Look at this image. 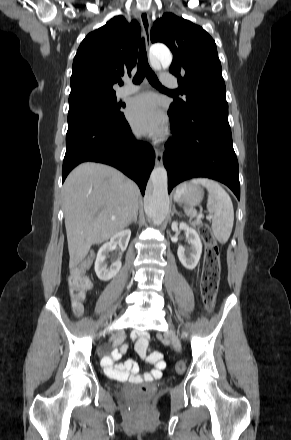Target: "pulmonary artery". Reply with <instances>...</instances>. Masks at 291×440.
Listing matches in <instances>:
<instances>
[{
    "label": "pulmonary artery",
    "instance_id": "pulmonary-artery-1",
    "mask_svg": "<svg viewBox=\"0 0 291 440\" xmlns=\"http://www.w3.org/2000/svg\"><path fill=\"white\" fill-rule=\"evenodd\" d=\"M161 81L165 85H169V86H175L177 84L175 75L170 73L164 74L161 78ZM138 90H139V85L128 82L124 87L118 90L117 95L119 97H127L129 95L136 93Z\"/></svg>",
    "mask_w": 291,
    "mask_h": 440
}]
</instances>
